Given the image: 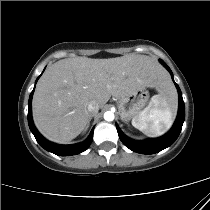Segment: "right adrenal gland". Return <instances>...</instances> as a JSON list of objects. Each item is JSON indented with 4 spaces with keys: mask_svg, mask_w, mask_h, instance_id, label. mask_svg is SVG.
Returning <instances> with one entry per match:
<instances>
[{
    "mask_svg": "<svg viewBox=\"0 0 210 210\" xmlns=\"http://www.w3.org/2000/svg\"><path fill=\"white\" fill-rule=\"evenodd\" d=\"M92 115H90V117H89V120H88V123H87V126H86V128H85V130L84 131H86L87 129H88V127H89V125H90V121H91V119H92Z\"/></svg>",
    "mask_w": 210,
    "mask_h": 210,
    "instance_id": "right-adrenal-gland-1",
    "label": "right adrenal gland"
}]
</instances>
